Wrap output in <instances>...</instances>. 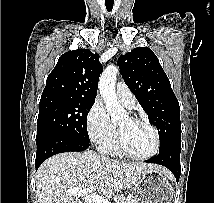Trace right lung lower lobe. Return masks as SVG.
<instances>
[{"instance_id":"98d812e1","label":"right lung lower lobe","mask_w":214,"mask_h":203,"mask_svg":"<svg viewBox=\"0 0 214 203\" xmlns=\"http://www.w3.org/2000/svg\"><path fill=\"white\" fill-rule=\"evenodd\" d=\"M90 146L87 142H82L66 137H49L37 143V153L35 160V168L44 162L47 158L63 152L83 151Z\"/></svg>"}]
</instances>
